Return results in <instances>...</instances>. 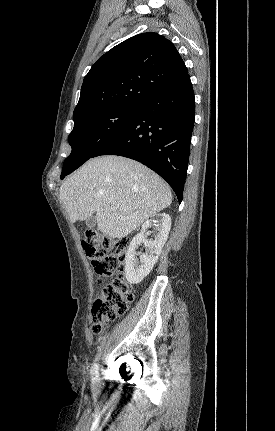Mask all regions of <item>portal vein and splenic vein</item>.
Returning a JSON list of instances; mask_svg holds the SVG:
<instances>
[{
    "instance_id": "obj_1",
    "label": "portal vein and splenic vein",
    "mask_w": 275,
    "mask_h": 431,
    "mask_svg": "<svg viewBox=\"0 0 275 431\" xmlns=\"http://www.w3.org/2000/svg\"><path fill=\"white\" fill-rule=\"evenodd\" d=\"M116 210H117L116 207H114V206L111 207V211L116 212Z\"/></svg>"
}]
</instances>
